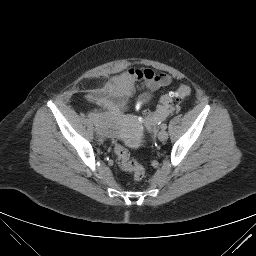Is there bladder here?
I'll list each match as a JSON object with an SVG mask.
<instances>
[{
  "label": "bladder",
  "instance_id": "1",
  "mask_svg": "<svg viewBox=\"0 0 256 256\" xmlns=\"http://www.w3.org/2000/svg\"><path fill=\"white\" fill-rule=\"evenodd\" d=\"M97 118L100 121V123L103 124V126H104V128L106 130L107 136H109L111 138H114V137L118 136L119 131L116 128V126L113 124V122L111 121V119L109 118L108 115H106V114H98Z\"/></svg>",
  "mask_w": 256,
  "mask_h": 256
}]
</instances>
